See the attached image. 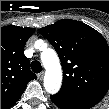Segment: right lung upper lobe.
<instances>
[{
  "mask_svg": "<svg viewBox=\"0 0 109 109\" xmlns=\"http://www.w3.org/2000/svg\"><path fill=\"white\" fill-rule=\"evenodd\" d=\"M32 33V28L14 25L1 28V109H7L36 78L24 55V45Z\"/></svg>",
  "mask_w": 109,
  "mask_h": 109,
  "instance_id": "cb5924a9",
  "label": "right lung upper lobe"
}]
</instances>
